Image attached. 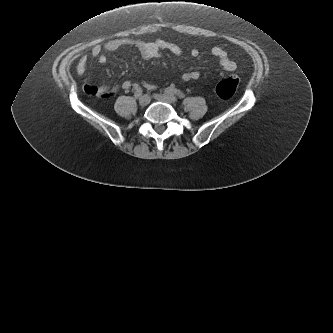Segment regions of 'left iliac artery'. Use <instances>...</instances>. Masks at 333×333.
I'll return each mask as SVG.
<instances>
[{
  "mask_svg": "<svg viewBox=\"0 0 333 333\" xmlns=\"http://www.w3.org/2000/svg\"><path fill=\"white\" fill-rule=\"evenodd\" d=\"M165 93L166 94H172V95H177L179 98H184L185 97V94L182 92V91H180V90H178V89H176V88H171V87H168V88H166L165 89Z\"/></svg>",
  "mask_w": 333,
  "mask_h": 333,
  "instance_id": "obj_1",
  "label": "left iliac artery"
}]
</instances>
